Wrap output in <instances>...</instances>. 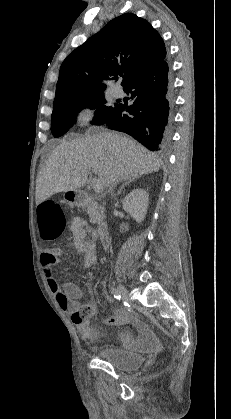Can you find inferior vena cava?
I'll list each match as a JSON object with an SVG mask.
<instances>
[{
  "label": "inferior vena cava",
  "mask_w": 231,
  "mask_h": 419,
  "mask_svg": "<svg viewBox=\"0 0 231 419\" xmlns=\"http://www.w3.org/2000/svg\"><path fill=\"white\" fill-rule=\"evenodd\" d=\"M116 186V183H113L112 186L110 187L111 190V194H113V188Z\"/></svg>",
  "instance_id": "obj_1"
}]
</instances>
